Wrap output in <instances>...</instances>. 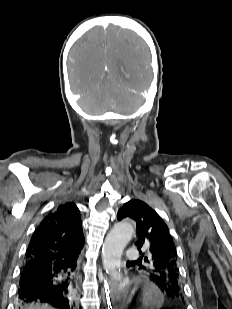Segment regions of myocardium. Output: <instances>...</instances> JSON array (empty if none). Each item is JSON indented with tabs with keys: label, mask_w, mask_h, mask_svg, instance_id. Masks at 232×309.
Listing matches in <instances>:
<instances>
[{
	"label": "myocardium",
	"mask_w": 232,
	"mask_h": 309,
	"mask_svg": "<svg viewBox=\"0 0 232 309\" xmlns=\"http://www.w3.org/2000/svg\"><path fill=\"white\" fill-rule=\"evenodd\" d=\"M145 296L149 297L150 296V292H146Z\"/></svg>",
	"instance_id": "obj_1"
}]
</instances>
